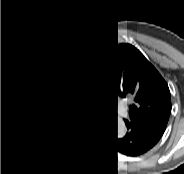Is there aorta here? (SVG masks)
Listing matches in <instances>:
<instances>
[{
    "mask_svg": "<svg viewBox=\"0 0 184 174\" xmlns=\"http://www.w3.org/2000/svg\"><path fill=\"white\" fill-rule=\"evenodd\" d=\"M124 127H125V124H124L123 120L120 117H118V119H117V132H118V134L122 133V131L124 130Z\"/></svg>",
    "mask_w": 184,
    "mask_h": 174,
    "instance_id": "aorta-1",
    "label": "aorta"
}]
</instances>
